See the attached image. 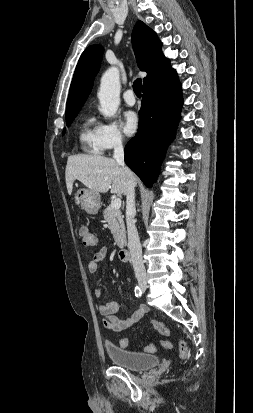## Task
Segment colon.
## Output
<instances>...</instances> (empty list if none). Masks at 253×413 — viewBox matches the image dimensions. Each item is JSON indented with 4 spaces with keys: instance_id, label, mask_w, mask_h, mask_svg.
<instances>
[{
    "instance_id": "obj_1",
    "label": "colon",
    "mask_w": 253,
    "mask_h": 413,
    "mask_svg": "<svg viewBox=\"0 0 253 413\" xmlns=\"http://www.w3.org/2000/svg\"><path fill=\"white\" fill-rule=\"evenodd\" d=\"M79 236L85 246L88 247H93L96 245V238L94 235L91 233V231L86 227V226H81L79 229ZM150 325L161 335L163 336H169L170 335V330L169 328L162 322L157 321V320H151ZM121 346L127 347L129 345V339L128 338H123L121 340ZM160 345L164 348H171V343L169 341H161ZM145 350L147 352H155L157 350L156 345H149L145 347ZM179 354L180 357L185 359L188 357L189 350L188 346L185 341L181 340L179 342Z\"/></svg>"
}]
</instances>
